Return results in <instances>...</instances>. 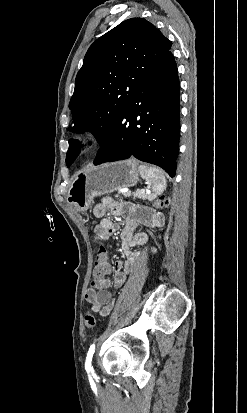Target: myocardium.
<instances>
[{
    "instance_id": "myocardium-1",
    "label": "myocardium",
    "mask_w": 247,
    "mask_h": 413,
    "mask_svg": "<svg viewBox=\"0 0 247 413\" xmlns=\"http://www.w3.org/2000/svg\"><path fill=\"white\" fill-rule=\"evenodd\" d=\"M79 144L82 152L90 153L98 145V136L94 133H87L81 137Z\"/></svg>"
}]
</instances>
